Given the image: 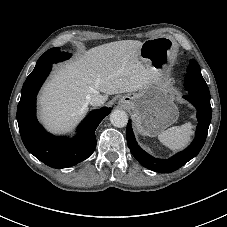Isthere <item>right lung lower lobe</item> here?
<instances>
[{
    "mask_svg": "<svg viewBox=\"0 0 227 227\" xmlns=\"http://www.w3.org/2000/svg\"><path fill=\"white\" fill-rule=\"evenodd\" d=\"M51 68L47 65L27 77L17 108V121L26 149L46 165L60 169L74 166L93 153L96 147L95 130L111 109L104 107L90 112L74 138L47 133L36 119V95Z\"/></svg>",
    "mask_w": 227,
    "mask_h": 227,
    "instance_id": "right-lung-lower-lobe-1",
    "label": "right lung lower lobe"
}]
</instances>
